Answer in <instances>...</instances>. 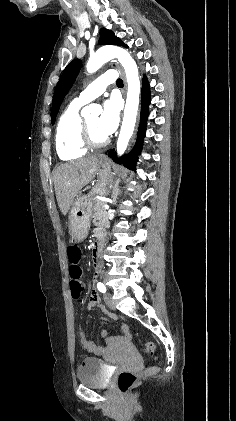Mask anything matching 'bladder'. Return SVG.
Masks as SVG:
<instances>
[{
    "label": "bladder",
    "mask_w": 236,
    "mask_h": 421,
    "mask_svg": "<svg viewBox=\"0 0 236 421\" xmlns=\"http://www.w3.org/2000/svg\"><path fill=\"white\" fill-rule=\"evenodd\" d=\"M103 360L97 358H85L77 367V382L87 385L91 388H106L109 382L106 380L105 373L102 371Z\"/></svg>",
    "instance_id": "obj_1"
}]
</instances>
